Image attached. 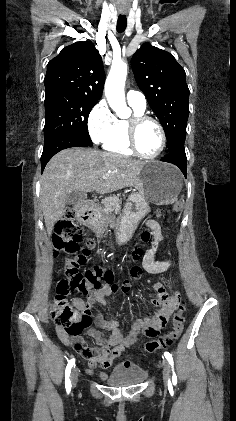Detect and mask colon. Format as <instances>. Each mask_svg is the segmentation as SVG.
Wrapping results in <instances>:
<instances>
[{
  "mask_svg": "<svg viewBox=\"0 0 236 421\" xmlns=\"http://www.w3.org/2000/svg\"><path fill=\"white\" fill-rule=\"evenodd\" d=\"M184 208L182 202H177L172 207V212H180ZM163 211H159L161 215ZM75 212L72 209H66L64 217L60 219L56 225L53 234V244L55 254L63 251L70 255L67 260L64 271L56 287V295L51 304L50 315L57 326L63 331L70 340L71 346L81 356H91L103 349H93L89 347L81 338L82 332L91 324V310L87 305H77L66 299V297L74 292L90 295L92 292L103 287H109L110 292H116L121 289L123 292L129 290V281L119 287L114 283V277L111 270L104 266L95 265L85 272H80L79 267L85 264L90 250L80 248V242L83 238L82 230L76 225ZM150 238L148 232L141 235L142 241L146 242ZM142 255V250L136 248L132 257L138 260ZM133 279H138L142 270L140 267H133L130 271ZM175 305L178 309L173 314L172 328L166 334L160 336L156 340L150 341L146 344L145 350L148 353L165 349L169 347L176 339L180 337L184 328L186 311L185 302L181 301L177 296L174 297ZM162 322V318L157 321V324ZM153 331V329H152ZM105 345V344H104Z\"/></svg>",
  "mask_w": 236,
  "mask_h": 421,
  "instance_id": "colon-1",
  "label": "colon"
}]
</instances>
